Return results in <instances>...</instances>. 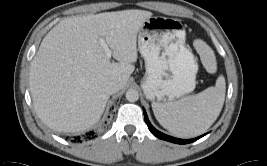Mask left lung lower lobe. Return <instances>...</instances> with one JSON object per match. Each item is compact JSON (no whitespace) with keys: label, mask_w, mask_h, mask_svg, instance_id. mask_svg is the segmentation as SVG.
<instances>
[{"label":"left lung lower lobe","mask_w":267,"mask_h":166,"mask_svg":"<svg viewBox=\"0 0 267 166\" xmlns=\"http://www.w3.org/2000/svg\"><path fill=\"white\" fill-rule=\"evenodd\" d=\"M143 112H144L145 122H146L149 130L151 131L152 134H154L156 137H158L160 139H163V140H166V141H169V142H173V143H177V144H188V143L194 142V141H196L199 138H201V137L204 136V135H202L200 137H197V138H194V139H189V140L178 139V138H174V137L168 136V135L163 134L160 131L156 130L151 125V123L149 122L148 117H147V114H146V111L144 109H143Z\"/></svg>","instance_id":"0a47b994"}]
</instances>
